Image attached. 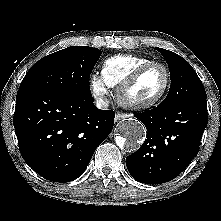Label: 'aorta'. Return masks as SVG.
Here are the masks:
<instances>
[{
  "instance_id": "762f6f07",
  "label": "aorta",
  "mask_w": 221,
  "mask_h": 221,
  "mask_svg": "<svg viewBox=\"0 0 221 221\" xmlns=\"http://www.w3.org/2000/svg\"><path fill=\"white\" fill-rule=\"evenodd\" d=\"M120 134L116 137V143L129 153L137 151L140 143L146 136L143 124L135 119H126L119 125Z\"/></svg>"
}]
</instances>
